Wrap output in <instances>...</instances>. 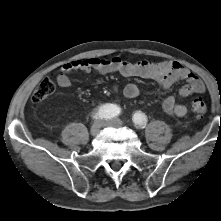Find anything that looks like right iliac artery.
Here are the masks:
<instances>
[{"instance_id": "right-iliac-artery-1", "label": "right iliac artery", "mask_w": 221, "mask_h": 221, "mask_svg": "<svg viewBox=\"0 0 221 221\" xmlns=\"http://www.w3.org/2000/svg\"><path fill=\"white\" fill-rule=\"evenodd\" d=\"M121 109L114 104H105L99 107L98 111L93 114L94 119H111L120 114Z\"/></svg>"}]
</instances>
